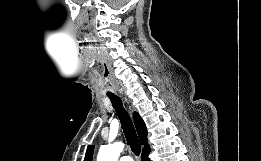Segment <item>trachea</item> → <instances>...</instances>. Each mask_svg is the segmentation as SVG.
Segmentation results:
<instances>
[{
	"label": "trachea",
	"mask_w": 261,
	"mask_h": 161,
	"mask_svg": "<svg viewBox=\"0 0 261 161\" xmlns=\"http://www.w3.org/2000/svg\"><path fill=\"white\" fill-rule=\"evenodd\" d=\"M109 98L112 102L113 107L115 108L117 115L120 119L122 129L127 140L128 145L130 146L132 152L135 155H140L141 145L136 134L133 122L128 114V112L123 107L122 101L119 97L114 95H109Z\"/></svg>",
	"instance_id": "obj_1"
}]
</instances>
